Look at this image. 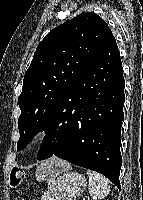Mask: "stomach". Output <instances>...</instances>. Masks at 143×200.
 <instances>
[{
	"label": "stomach",
	"mask_w": 143,
	"mask_h": 200,
	"mask_svg": "<svg viewBox=\"0 0 143 200\" xmlns=\"http://www.w3.org/2000/svg\"><path fill=\"white\" fill-rule=\"evenodd\" d=\"M48 181V188L41 200H76L86 187V179L82 174L66 169H60Z\"/></svg>",
	"instance_id": "1"
}]
</instances>
